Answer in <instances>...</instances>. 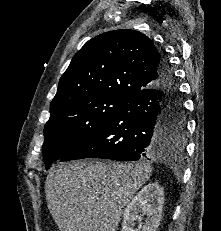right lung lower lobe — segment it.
<instances>
[{
  "label": "right lung lower lobe",
  "mask_w": 221,
  "mask_h": 231,
  "mask_svg": "<svg viewBox=\"0 0 221 231\" xmlns=\"http://www.w3.org/2000/svg\"><path fill=\"white\" fill-rule=\"evenodd\" d=\"M162 56L158 83L127 98L99 130L60 161L150 159L171 146L163 135L165 111L168 105H178L181 99L171 66L164 54Z\"/></svg>",
  "instance_id": "obj_1"
}]
</instances>
